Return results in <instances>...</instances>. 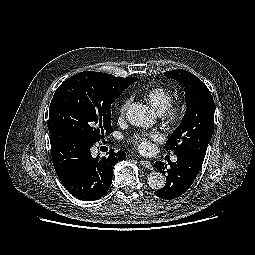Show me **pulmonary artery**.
<instances>
[{
    "label": "pulmonary artery",
    "mask_w": 255,
    "mask_h": 255,
    "mask_svg": "<svg viewBox=\"0 0 255 255\" xmlns=\"http://www.w3.org/2000/svg\"><path fill=\"white\" fill-rule=\"evenodd\" d=\"M172 161H173V162H176V161H177V157H176V156H173V157H172Z\"/></svg>",
    "instance_id": "e3ab8cb5"
}]
</instances>
